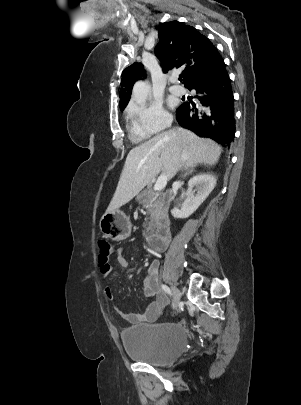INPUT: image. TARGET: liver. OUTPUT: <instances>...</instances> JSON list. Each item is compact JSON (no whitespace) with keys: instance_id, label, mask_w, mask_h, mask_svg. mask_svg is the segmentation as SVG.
<instances>
[{"instance_id":"1","label":"liver","mask_w":301,"mask_h":405,"mask_svg":"<svg viewBox=\"0 0 301 405\" xmlns=\"http://www.w3.org/2000/svg\"><path fill=\"white\" fill-rule=\"evenodd\" d=\"M180 130L162 132L130 150L107 212L130 202L161 171L173 178L182 167L188 169L198 163L212 166L218 162L222 149L216 142ZM183 151L187 158L181 165Z\"/></svg>"}]
</instances>
